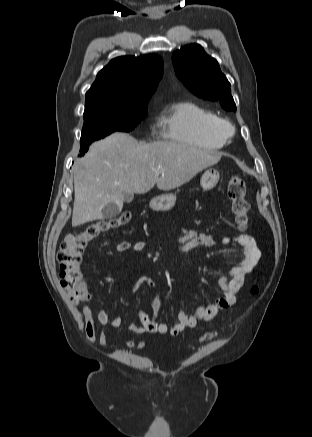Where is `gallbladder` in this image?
I'll use <instances>...</instances> for the list:
<instances>
[{
    "label": "gallbladder",
    "mask_w": 312,
    "mask_h": 437,
    "mask_svg": "<svg viewBox=\"0 0 312 437\" xmlns=\"http://www.w3.org/2000/svg\"><path fill=\"white\" fill-rule=\"evenodd\" d=\"M133 200V194L124 193V200L127 203H130ZM122 210V205L116 202H110L102 210L104 219H112L120 214Z\"/></svg>",
    "instance_id": "obj_1"
}]
</instances>
